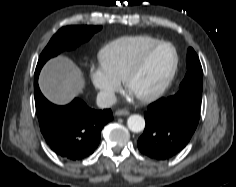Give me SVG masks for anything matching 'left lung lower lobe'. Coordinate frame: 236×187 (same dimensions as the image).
Here are the masks:
<instances>
[{
	"mask_svg": "<svg viewBox=\"0 0 236 187\" xmlns=\"http://www.w3.org/2000/svg\"><path fill=\"white\" fill-rule=\"evenodd\" d=\"M146 127L138 148L146 156L169 159L181 151L192 137L200 117V104L178 98H161L148 106Z\"/></svg>",
	"mask_w": 236,
	"mask_h": 187,
	"instance_id": "obj_1",
	"label": "left lung lower lobe"
}]
</instances>
